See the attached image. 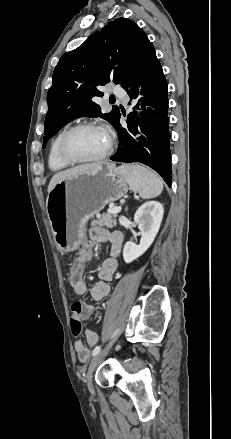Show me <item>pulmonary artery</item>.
<instances>
[{"mask_svg":"<svg viewBox=\"0 0 231 439\" xmlns=\"http://www.w3.org/2000/svg\"><path fill=\"white\" fill-rule=\"evenodd\" d=\"M112 92L120 97H124L125 93L121 88H114Z\"/></svg>","mask_w":231,"mask_h":439,"instance_id":"obj_1","label":"pulmonary artery"}]
</instances>
